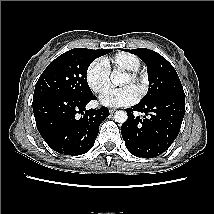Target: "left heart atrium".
Segmentation results:
<instances>
[{
    "instance_id": "1",
    "label": "left heart atrium",
    "mask_w": 214,
    "mask_h": 214,
    "mask_svg": "<svg viewBox=\"0 0 214 214\" xmlns=\"http://www.w3.org/2000/svg\"><path fill=\"white\" fill-rule=\"evenodd\" d=\"M138 97V90L132 85H127L106 91L101 95L100 103L107 107H121L135 103Z\"/></svg>"
}]
</instances>
